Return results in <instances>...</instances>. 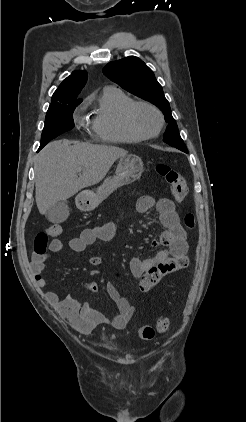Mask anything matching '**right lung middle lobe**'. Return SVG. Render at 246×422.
<instances>
[{
	"label": "right lung middle lobe",
	"mask_w": 246,
	"mask_h": 422,
	"mask_svg": "<svg viewBox=\"0 0 246 422\" xmlns=\"http://www.w3.org/2000/svg\"><path fill=\"white\" fill-rule=\"evenodd\" d=\"M81 102H71L49 107L41 136L40 148L60 134L73 129V112Z\"/></svg>",
	"instance_id": "1"
}]
</instances>
